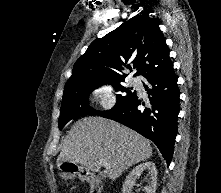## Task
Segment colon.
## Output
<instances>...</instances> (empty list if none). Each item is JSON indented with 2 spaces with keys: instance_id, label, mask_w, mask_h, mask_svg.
<instances>
[{
  "instance_id": "1",
  "label": "colon",
  "mask_w": 221,
  "mask_h": 193,
  "mask_svg": "<svg viewBox=\"0 0 221 193\" xmlns=\"http://www.w3.org/2000/svg\"><path fill=\"white\" fill-rule=\"evenodd\" d=\"M66 173L73 174L76 172V167L72 165H67L64 168ZM84 177L90 182L91 184V191L90 193H101V183L100 181L90 174H84Z\"/></svg>"
}]
</instances>
